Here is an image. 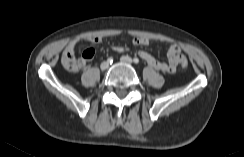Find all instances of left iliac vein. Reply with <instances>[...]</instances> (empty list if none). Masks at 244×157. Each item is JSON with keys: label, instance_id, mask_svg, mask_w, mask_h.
Here are the masks:
<instances>
[{"label": "left iliac vein", "instance_id": "obj_1", "mask_svg": "<svg viewBox=\"0 0 244 157\" xmlns=\"http://www.w3.org/2000/svg\"><path fill=\"white\" fill-rule=\"evenodd\" d=\"M120 60H121L122 63H126V64H132L133 63L132 58L129 57V56H122L120 58Z\"/></svg>", "mask_w": 244, "mask_h": 157}]
</instances>
